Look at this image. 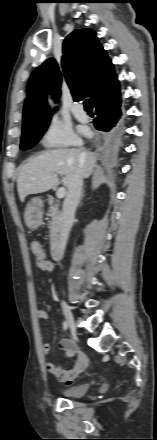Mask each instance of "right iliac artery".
Instances as JSON below:
<instances>
[{
    "label": "right iliac artery",
    "instance_id": "1",
    "mask_svg": "<svg viewBox=\"0 0 157 440\" xmlns=\"http://www.w3.org/2000/svg\"><path fill=\"white\" fill-rule=\"evenodd\" d=\"M63 328H64L65 330H67V329H68V324H67V322H66V321H64V322H63Z\"/></svg>",
    "mask_w": 157,
    "mask_h": 440
}]
</instances>
